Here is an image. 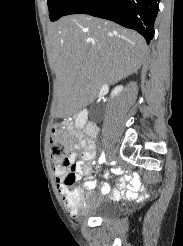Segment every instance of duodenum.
Returning <instances> with one entry per match:
<instances>
[{"label": "duodenum", "instance_id": "410a0bca", "mask_svg": "<svg viewBox=\"0 0 183 246\" xmlns=\"http://www.w3.org/2000/svg\"><path fill=\"white\" fill-rule=\"evenodd\" d=\"M85 132L89 136H94L96 134V128L93 124L88 123L86 128H85Z\"/></svg>", "mask_w": 183, "mask_h": 246}]
</instances>
